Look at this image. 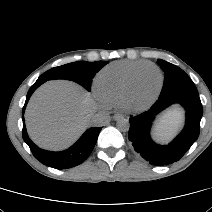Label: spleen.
Masks as SVG:
<instances>
[{"instance_id":"spleen-1","label":"spleen","mask_w":212,"mask_h":212,"mask_svg":"<svg viewBox=\"0 0 212 212\" xmlns=\"http://www.w3.org/2000/svg\"><path fill=\"white\" fill-rule=\"evenodd\" d=\"M160 136H161L162 138H166V137H167V136H165V135H161V134H160Z\"/></svg>"}]
</instances>
